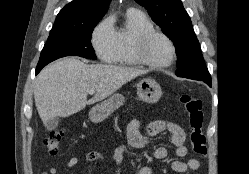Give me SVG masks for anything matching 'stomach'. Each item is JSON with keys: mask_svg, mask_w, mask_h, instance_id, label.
Here are the masks:
<instances>
[{"mask_svg": "<svg viewBox=\"0 0 249 174\" xmlns=\"http://www.w3.org/2000/svg\"><path fill=\"white\" fill-rule=\"evenodd\" d=\"M138 97L147 103H156L161 95L160 85L153 79H143L137 84ZM124 102L121 94H114L109 99L94 106L89 112V117L93 122H101L111 113L118 109Z\"/></svg>", "mask_w": 249, "mask_h": 174, "instance_id": "stomach-1", "label": "stomach"}]
</instances>
